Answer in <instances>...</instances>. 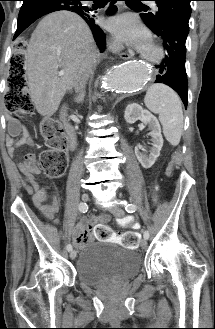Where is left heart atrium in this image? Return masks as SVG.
Wrapping results in <instances>:
<instances>
[{
    "mask_svg": "<svg viewBox=\"0 0 215 329\" xmlns=\"http://www.w3.org/2000/svg\"><path fill=\"white\" fill-rule=\"evenodd\" d=\"M109 29L118 41L139 50H146L151 45L150 33L134 15L124 14L111 19Z\"/></svg>",
    "mask_w": 215,
    "mask_h": 329,
    "instance_id": "obj_1",
    "label": "left heart atrium"
}]
</instances>
